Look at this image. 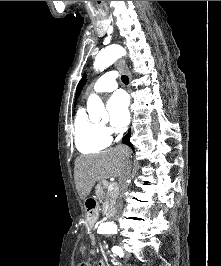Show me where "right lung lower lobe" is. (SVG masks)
<instances>
[{"label": "right lung lower lobe", "instance_id": "right-lung-lower-lobe-1", "mask_svg": "<svg viewBox=\"0 0 221 266\" xmlns=\"http://www.w3.org/2000/svg\"><path fill=\"white\" fill-rule=\"evenodd\" d=\"M130 130L128 131V133L122 138V142L128 146H130L132 148L131 142H130Z\"/></svg>", "mask_w": 221, "mask_h": 266}]
</instances>
